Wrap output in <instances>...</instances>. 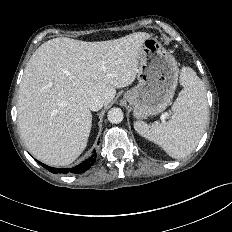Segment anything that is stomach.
<instances>
[{
  "instance_id": "1",
  "label": "stomach",
  "mask_w": 232,
  "mask_h": 232,
  "mask_svg": "<svg viewBox=\"0 0 232 232\" xmlns=\"http://www.w3.org/2000/svg\"><path fill=\"white\" fill-rule=\"evenodd\" d=\"M178 64L158 40H144L137 70L138 84L124 93L133 115L144 119L156 115L171 103L178 84Z\"/></svg>"
}]
</instances>
